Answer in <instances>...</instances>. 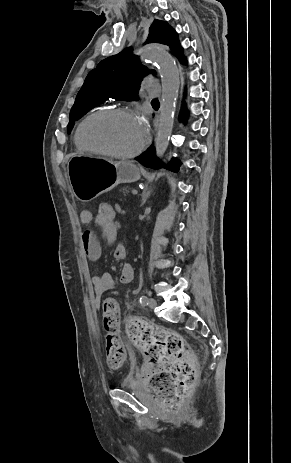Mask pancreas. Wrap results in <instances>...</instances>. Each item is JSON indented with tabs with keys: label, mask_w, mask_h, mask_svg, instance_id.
<instances>
[{
	"label": "pancreas",
	"mask_w": 291,
	"mask_h": 463,
	"mask_svg": "<svg viewBox=\"0 0 291 463\" xmlns=\"http://www.w3.org/2000/svg\"><path fill=\"white\" fill-rule=\"evenodd\" d=\"M132 191V188L129 186H124L119 189V192L123 194V196H128L130 192Z\"/></svg>",
	"instance_id": "cf45deb5"
}]
</instances>
